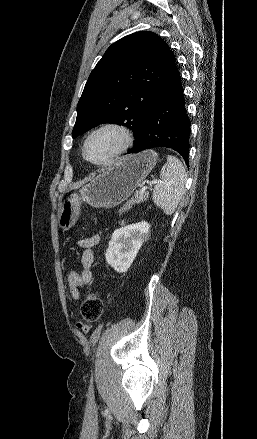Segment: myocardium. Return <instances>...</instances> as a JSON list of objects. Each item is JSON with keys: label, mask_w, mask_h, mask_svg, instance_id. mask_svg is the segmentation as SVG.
I'll list each match as a JSON object with an SVG mask.
<instances>
[{"label": "myocardium", "mask_w": 257, "mask_h": 439, "mask_svg": "<svg viewBox=\"0 0 257 439\" xmlns=\"http://www.w3.org/2000/svg\"><path fill=\"white\" fill-rule=\"evenodd\" d=\"M106 130H111L116 132L119 137H120V141H121V145L120 147L112 154L110 155L107 159L103 160V161H93L91 160L88 156H87V146L89 141L91 140V138L102 132V131H106ZM133 141L132 138V134L131 131L129 130V128H127L125 125L120 124V123H115V122H108V123H104L98 127H96L95 129H93L85 138L84 143H83V147H82V155L83 158L90 164L97 166V167H106L111 165L114 161H116L121 155H123L128 148L131 146Z\"/></svg>", "instance_id": "myocardium-1"}]
</instances>
